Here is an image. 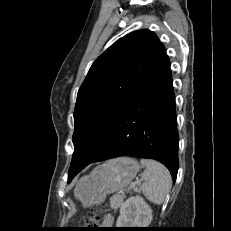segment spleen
Returning a JSON list of instances; mask_svg holds the SVG:
<instances>
[{"label":"spleen","instance_id":"obj_1","mask_svg":"<svg viewBox=\"0 0 231 231\" xmlns=\"http://www.w3.org/2000/svg\"><path fill=\"white\" fill-rule=\"evenodd\" d=\"M145 166L141 191L150 202L160 205L170 191L172 178L169 170L161 163L151 159H141Z\"/></svg>","mask_w":231,"mask_h":231}]
</instances>
